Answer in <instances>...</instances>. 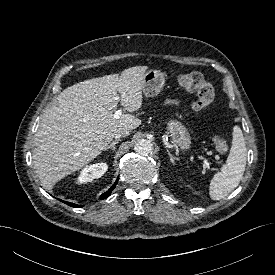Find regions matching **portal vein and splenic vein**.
<instances>
[{
  "instance_id": "1",
  "label": "portal vein and splenic vein",
  "mask_w": 275,
  "mask_h": 275,
  "mask_svg": "<svg viewBox=\"0 0 275 275\" xmlns=\"http://www.w3.org/2000/svg\"><path fill=\"white\" fill-rule=\"evenodd\" d=\"M121 115H122V109H118L114 112V118L116 119L119 118ZM203 162H204L205 168L209 169L210 166L206 158H203Z\"/></svg>"
}]
</instances>
